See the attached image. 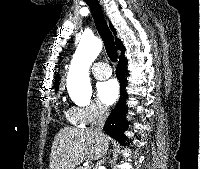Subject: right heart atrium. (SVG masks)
Returning a JSON list of instances; mask_svg holds the SVG:
<instances>
[{
    "label": "right heart atrium",
    "mask_w": 200,
    "mask_h": 169,
    "mask_svg": "<svg viewBox=\"0 0 200 169\" xmlns=\"http://www.w3.org/2000/svg\"><path fill=\"white\" fill-rule=\"evenodd\" d=\"M73 112L77 116L80 125L87 126L104 119L107 108L98 101H92L84 106L74 107Z\"/></svg>",
    "instance_id": "right-heart-atrium-1"
}]
</instances>
